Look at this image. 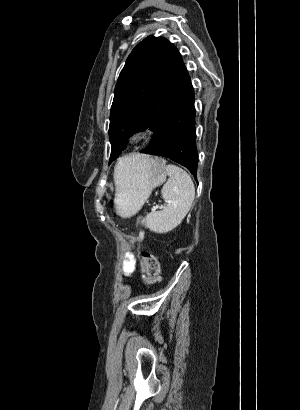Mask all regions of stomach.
<instances>
[{"instance_id":"1","label":"stomach","mask_w":300,"mask_h":410,"mask_svg":"<svg viewBox=\"0 0 300 410\" xmlns=\"http://www.w3.org/2000/svg\"><path fill=\"white\" fill-rule=\"evenodd\" d=\"M131 167L120 173L114 207L118 215L130 217L136 214L150 196L152 190L166 180V162L157 157H145L135 162L126 157Z\"/></svg>"}]
</instances>
